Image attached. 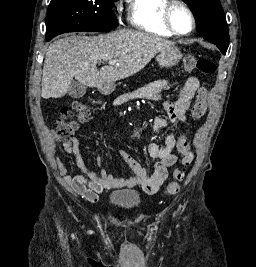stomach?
Segmentation results:
<instances>
[{"label":"stomach","instance_id":"0dacf381","mask_svg":"<svg viewBox=\"0 0 256 267\" xmlns=\"http://www.w3.org/2000/svg\"><path fill=\"white\" fill-rule=\"evenodd\" d=\"M182 58V54L180 52V48L177 46H164L161 52H159V56H157V62L163 68H171V66H176L178 62H180Z\"/></svg>","mask_w":256,"mask_h":267}]
</instances>
